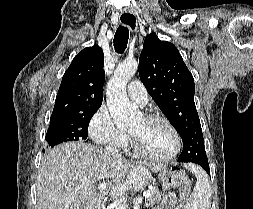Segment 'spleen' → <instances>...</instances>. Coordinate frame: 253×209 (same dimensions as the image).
<instances>
[{"label":"spleen","instance_id":"spleen-1","mask_svg":"<svg viewBox=\"0 0 253 209\" xmlns=\"http://www.w3.org/2000/svg\"><path fill=\"white\" fill-rule=\"evenodd\" d=\"M197 178L195 187L186 202V209H210V183L205 171L196 165H186Z\"/></svg>","mask_w":253,"mask_h":209}]
</instances>
